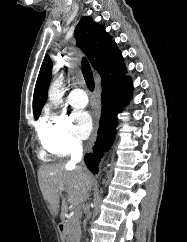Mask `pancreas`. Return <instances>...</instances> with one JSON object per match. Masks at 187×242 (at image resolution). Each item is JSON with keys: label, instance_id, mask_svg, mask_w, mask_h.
I'll list each match as a JSON object with an SVG mask.
<instances>
[{"label": "pancreas", "instance_id": "1", "mask_svg": "<svg viewBox=\"0 0 187 242\" xmlns=\"http://www.w3.org/2000/svg\"><path fill=\"white\" fill-rule=\"evenodd\" d=\"M81 213H76L69 218L66 223V240L67 242H79L81 237L80 226Z\"/></svg>", "mask_w": 187, "mask_h": 242}]
</instances>
